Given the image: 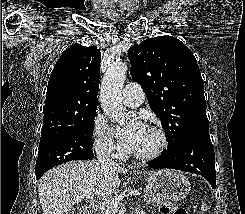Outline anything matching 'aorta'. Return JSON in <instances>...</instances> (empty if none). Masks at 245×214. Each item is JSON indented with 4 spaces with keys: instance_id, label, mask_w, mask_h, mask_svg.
Wrapping results in <instances>:
<instances>
[{
    "instance_id": "1",
    "label": "aorta",
    "mask_w": 245,
    "mask_h": 214,
    "mask_svg": "<svg viewBox=\"0 0 245 214\" xmlns=\"http://www.w3.org/2000/svg\"><path fill=\"white\" fill-rule=\"evenodd\" d=\"M127 71L126 62L112 63L103 77L100 88V103L103 112L110 119L120 124H124L126 119L121 96Z\"/></svg>"
}]
</instances>
